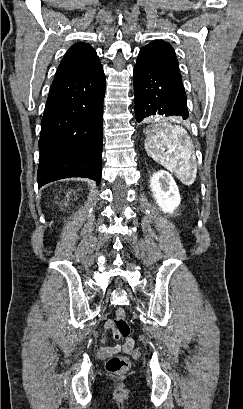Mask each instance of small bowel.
<instances>
[{"mask_svg": "<svg viewBox=\"0 0 243 409\" xmlns=\"http://www.w3.org/2000/svg\"><path fill=\"white\" fill-rule=\"evenodd\" d=\"M113 331V320L106 321L104 325V334L101 338V352L104 355L115 354L121 351L127 352L130 351L132 347H128L125 344H117L115 346H109L107 344V332Z\"/></svg>", "mask_w": 243, "mask_h": 409, "instance_id": "1", "label": "small bowel"}]
</instances>
